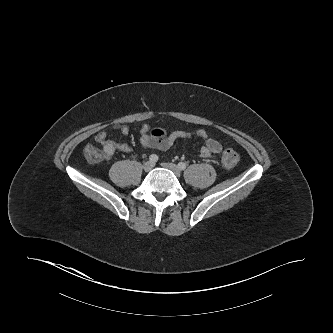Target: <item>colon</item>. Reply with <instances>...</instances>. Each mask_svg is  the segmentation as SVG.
Returning a JSON list of instances; mask_svg holds the SVG:
<instances>
[{"instance_id": "colon-1", "label": "colon", "mask_w": 333, "mask_h": 333, "mask_svg": "<svg viewBox=\"0 0 333 333\" xmlns=\"http://www.w3.org/2000/svg\"><path fill=\"white\" fill-rule=\"evenodd\" d=\"M151 135L154 137H163L164 131L153 129ZM84 156L89 163H98L106 156L104 146L97 143L96 145H87L84 150ZM239 161L238 153L233 149H226L222 154V162L226 167H233Z\"/></svg>"}]
</instances>
